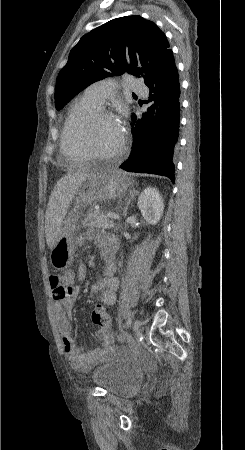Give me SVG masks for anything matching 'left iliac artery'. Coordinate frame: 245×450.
Returning a JSON list of instances; mask_svg holds the SVG:
<instances>
[{"label":"left iliac artery","instance_id":"44dca946","mask_svg":"<svg viewBox=\"0 0 245 450\" xmlns=\"http://www.w3.org/2000/svg\"><path fill=\"white\" fill-rule=\"evenodd\" d=\"M131 323H132V319H131V317H129L128 320H127V323H126L127 327H130Z\"/></svg>","mask_w":245,"mask_h":450}]
</instances>
